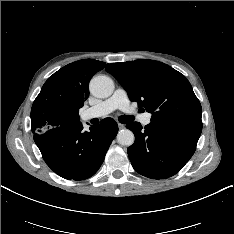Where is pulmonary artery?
Segmentation results:
<instances>
[{
	"mask_svg": "<svg viewBox=\"0 0 234 234\" xmlns=\"http://www.w3.org/2000/svg\"><path fill=\"white\" fill-rule=\"evenodd\" d=\"M117 109L126 113H135L134 108L130 105L126 91L122 88H117L111 97L86 109L83 113V117L85 119L99 118ZM140 121L143 125H148L151 122V114L144 113L140 115Z\"/></svg>",
	"mask_w": 234,
	"mask_h": 234,
	"instance_id": "e3ab8cb5",
	"label": "pulmonary artery"
}]
</instances>
